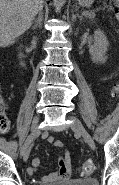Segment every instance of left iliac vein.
Masks as SVG:
<instances>
[{"mask_svg":"<svg viewBox=\"0 0 119 185\" xmlns=\"http://www.w3.org/2000/svg\"><path fill=\"white\" fill-rule=\"evenodd\" d=\"M69 119L72 120V123H71L72 130L75 133L81 135L84 138V140L86 141V143L89 145V147L92 150H95L96 149L95 142H94L93 138L91 137V135L84 128V126L81 124V122L73 116H69Z\"/></svg>","mask_w":119,"mask_h":185,"instance_id":"left-iliac-vein-1","label":"left iliac vein"}]
</instances>
